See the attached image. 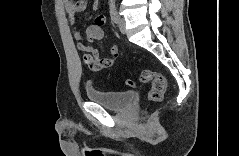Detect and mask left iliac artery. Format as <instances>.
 Listing matches in <instances>:
<instances>
[{
	"mask_svg": "<svg viewBox=\"0 0 239 156\" xmlns=\"http://www.w3.org/2000/svg\"><path fill=\"white\" fill-rule=\"evenodd\" d=\"M110 16H111V19L114 23H118L119 15H118V12H117V9H116V5L113 2L110 3Z\"/></svg>",
	"mask_w": 239,
	"mask_h": 156,
	"instance_id": "left-iliac-artery-1",
	"label": "left iliac artery"
}]
</instances>
